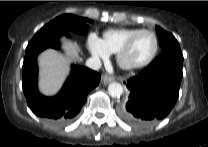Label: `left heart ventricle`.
<instances>
[{"label": "left heart ventricle", "instance_id": "1", "mask_svg": "<svg viewBox=\"0 0 208 147\" xmlns=\"http://www.w3.org/2000/svg\"><path fill=\"white\" fill-rule=\"evenodd\" d=\"M154 48V37L149 33H144L135 40L125 59L129 63L144 62L151 56Z\"/></svg>", "mask_w": 208, "mask_h": 147}]
</instances>
